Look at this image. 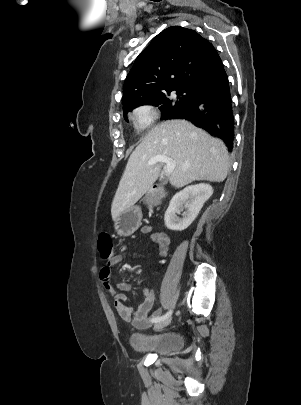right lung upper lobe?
Here are the masks:
<instances>
[{"label":"right lung upper lobe","instance_id":"right-lung-upper-lobe-1","mask_svg":"<svg viewBox=\"0 0 301 405\" xmlns=\"http://www.w3.org/2000/svg\"><path fill=\"white\" fill-rule=\"evenodd\" d=\"M224 74L222 61L207 39L191 29L169 27L135 60L124 83L123 111L172 89L198 92Z\"/></svg>","mask_w":301,"mask_h":405}]
</instances>
